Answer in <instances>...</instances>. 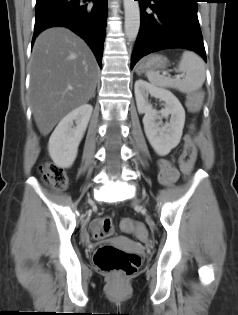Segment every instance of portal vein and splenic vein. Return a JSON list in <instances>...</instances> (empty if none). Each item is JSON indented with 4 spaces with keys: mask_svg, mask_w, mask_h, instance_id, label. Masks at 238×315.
<instances>
[{
    "mask_svg": "<svg viewBox=\"0 0 238 315\" xmlns=\"http://www.w3.org/2000/svg\"><path fill=\"white\" fill-rule=\"evenodd\" d=\"M168 75V74H167ZM183 75H176L175 78L176 79H180ZM72 89V88H71Z\"/></svg>",
    "mask_w": 238,
    "mask_h": 315,
    "instance_id": "18ae733b",
    "label": "portal vein and splenic vein"
}]
</instances>
